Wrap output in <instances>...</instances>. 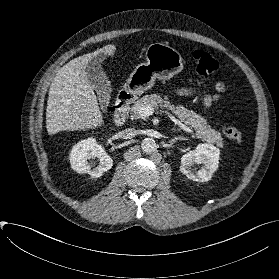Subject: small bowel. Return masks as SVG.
<instances>
[{"instance_id": "obj_1", "label": "small bowel", "mask_w": 279, "mask_h": 279, "mask_svg": "<svg viewBox=\"0 0 279 279\" xmlns=\"http://www.w3.org/2000/svg\"><path fill=\"white\" fill-rule=\"evenodd\" d=\"M226 92V85L222 81H218L215 85V92L213 94H206L203 96V104L209 108L215 102L219 101L222 95ZM181 94H188L189 91L184 89L180 91Z\"/></svg>"}]
</instances>
